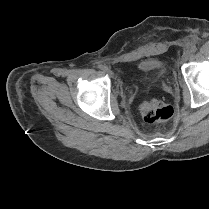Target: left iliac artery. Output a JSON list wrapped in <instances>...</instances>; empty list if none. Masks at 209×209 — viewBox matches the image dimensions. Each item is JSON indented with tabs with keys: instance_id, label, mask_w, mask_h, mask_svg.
<instances>
[{
	"instance_id": "44dca946",
	"label": "left iliac artery",
	"mask_w": 209,
	"mask_h": 209,
	"mask_svg": "<svg viewBox=\"0 0 209 209\" xmlns=\"http://www.w3.org/2000/svg\"><path fill=\"white\" fill-rule=\"evenodd\" d=\"M190 51H191L192 53H195V52L197 51V47H196L195 45H192V46L190 47Z\"/></svg>"
}]
</instances>
